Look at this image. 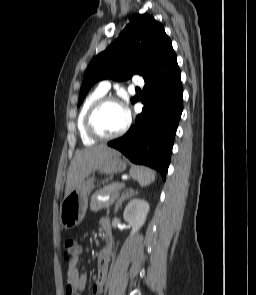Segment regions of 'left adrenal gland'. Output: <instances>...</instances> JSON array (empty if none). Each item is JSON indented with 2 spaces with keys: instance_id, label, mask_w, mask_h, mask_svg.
Instances as JSON below:
<instances>
[{
  "instance_id": "1",
  "label": "left adrenal gland",
  "mask_w": 256,
  "mask_h": 295,
  "mask_svg": "<svg viewBox=\"0 0 256 295\" xmlns=\"http://www.w3.org/2000/svg\"><path fill=\"white\" fill-rule=\"evenodd\" d=\"M137 194H138V191L137 190H134L132 188L124 189L123 192L121 193V196L116 201V204H115V214L118 212L119 207L122 205V203L125 200H128L132 196H135Z\"/></svg>"
}]
</instances>
